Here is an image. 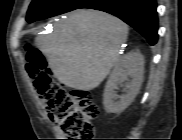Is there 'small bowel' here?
I'll return each mask as SVG.
<instances>
[{
	"instance_id": "obj_1",
	"label": "small bowel",
	"mask_w": 182,
	"mask_h": 140,
	"mask_svg": "<svg viewBox=\"0 0 182 140\" xmlns=\"http://www.w3.org/2000/svg\"><path fill=\"white\" fill-rule=\"evenodd\" d=\"M47 114H48V117H49L52 121H56V120H57V117H56L54 111L48 109Z\"/></svg>"
}]
</instances>
